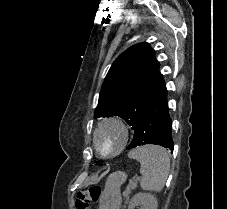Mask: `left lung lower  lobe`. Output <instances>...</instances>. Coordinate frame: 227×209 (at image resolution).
<instances>
[{
	"label": "left lung lower lobe",
	"mask_w": 227,
	"mask_h": 209,
	"mask_svg": "<svg viewBox=\"0 0 227 209\" xmlns=\"http://www.w3.org/2000/svg\"><path fill=\"white\" fill-rule=\"evenodd\" d=\"M171 126L172 121L167 105V90L165 89V91L148 106L139 119L133 140L127 149L146 144H154L173 150L174 143L171 136Z\"/></svg>",
	"instance_id": "0a47b994"
}]
</instances>
